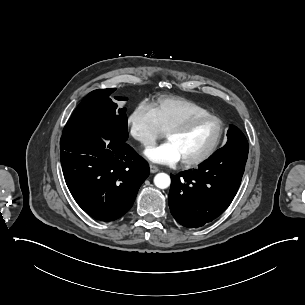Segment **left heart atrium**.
<instances>
[{"instance_id": "1", "label": "left heart atrium", "mask_w": 305, "mask_h": 305, "mask_svg": "<svg viewBox=\"0 0 305 305\" xmlns=\"http://www.w3.org/2000/svg\"><path fill=\"white\" fill-rule=\"evenodd\" d=\"M150 161L161 164H173L181 160V155L172 142L166 141L145 151Z\"/></svg>"}]
</instances>
